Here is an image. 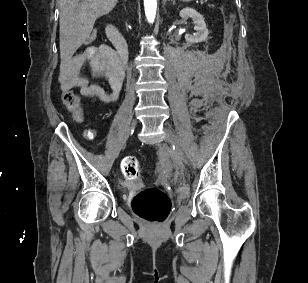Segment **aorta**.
I'll use <instances>...</instances> for the list:
<instances>
[{"label": "aorta", "instance_id": "aorta-1", "mask_svg": "<svg viewBox=\"0 0 308 283\" xmlns=\"http://www.w3.org/2000/svg\"><path fill=\"white\" fill-rule=\"evenodd\" d=\"M144 8L148 22L153 23L156 17L157 0H144Z\"/></svg>", "mask_w": 308, "mask_h": 283}]
</instances>
